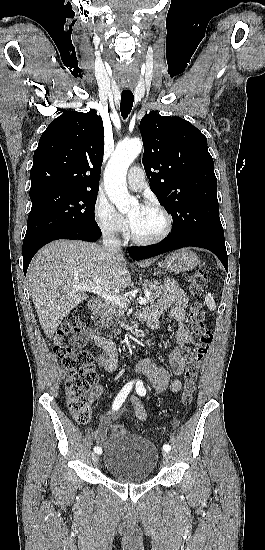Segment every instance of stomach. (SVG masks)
<instances>
[{"instance_id": "obj_1", "label": "stomach", "mask_w": 265, "mask_h": 550, "mask_svg": "<svg viewBox=\"0 0 265 550\" xmlns=\"http://www.w3.org/2000/svg\"><path fill=\"white\" fill-rule=\"evenodd\" d=\"M198 256L189 250H180L166 255L159 266L166 272H185L194 269L199 264Z\"/></svg>"}]
</instances>
